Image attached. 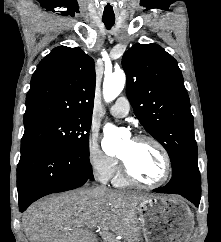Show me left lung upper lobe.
I'll list each match as a JSON object with an SVG mask.
<instances>
[{
  "label": "left lung upper lobe",
  "mask_w": 221,
  "mask_h": 242,
  "mask_svg": "<svg viewBox=\"0 0 221 242\" xmlns=\"http://www.w3.org/2000/svg\"><path fill=\"white\" fill-rule=\"evenodd\" d=\"M122 65L135 115L167 150L172 173L197 161L190 100L176 60L157 44H135L123 55Z\"/></svg>",
  "instance_id": "obj_1"
}]
</instances>
